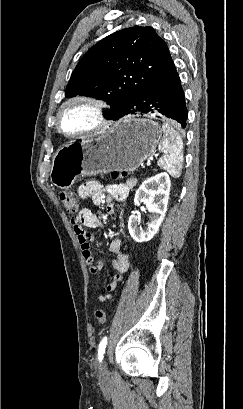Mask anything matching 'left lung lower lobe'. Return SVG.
I'll return each instance as SVG.
<instances>
[{
  "label": "left lung lower lobe",
  "mask_w": 243,
  "mask_h": 409,
  "mask_svg": "<svg viewBox=\"0 0 243 409\" xmlns=\"http://www.w3.org/2000/svg\"><path fill=\"white\" fill-rule=\"evenodd\" d=\"M137 112L160 113L179 122L182 128L186 127L188 112L184 91L175 66L149 84L132 101L129 109L123 111L118 116L122 117L127 114H136Z\"/></svg>",
  "instance_id": "0a47b994"
}]
</instances>
